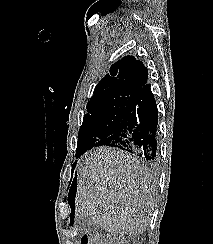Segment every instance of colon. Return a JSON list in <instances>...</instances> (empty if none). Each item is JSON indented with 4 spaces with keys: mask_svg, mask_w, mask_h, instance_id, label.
Returning a JSON list of instances; mask_svg holds the SVG:
<instances>
[{
    "mask_svg": "<svg viewBox=\"0 0 213 244\" xmlns=\"http://www.w3.org/2000/svg\"><path fill=\"white\" fill-rule=\"evenodd\" d=\"M81 244H115L112 240H106L102 236L87 237L81 239Z\"/></svg>",
    "mask_w": 213,
    "mask_h": 244,
    "instance_id": "colon-1",
    "label": "colon"
}]
</instances>
